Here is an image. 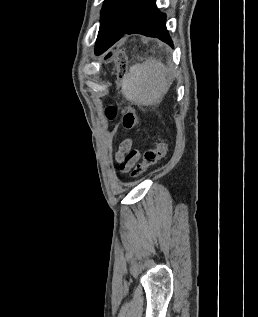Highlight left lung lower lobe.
Wrapping results in <instances>:
<instances>
[{"mask_svg":"<svg viewBox=\"0 0 258 317\" xmlns=\"http://www.w3.org/2000/svg\"><path fill=\"white\" fill-rule=\"evenodd\" d=\"M125 33L159 38L173 47L166 29V15L159 12L155 0H131L125 24L121 28H100L95 54L106 51Z\"/></svg>","mask_w":258,"mask_h":317,"instance_id":"left-lung-lower-lobe-1","label":"left lung lower lobe"}]
</instances>
